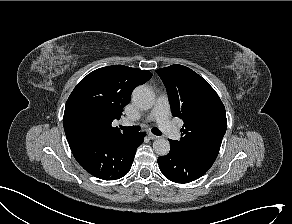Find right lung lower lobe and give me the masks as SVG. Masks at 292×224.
<instances>
[{
	"mask_svg": "<svg viewBox=\"0 0 292 224\" xmlns=\"http://www.w3.org/2000/svg\"><path fill=\"white\" fill-rule=\"evenodd\" d=\"M145 135L132 133L122 138L68 142L75 159L87 172L103 180H117L130 171L136 149Z\"/></svg>",
	"mask_w": 292,
	"mask_h": 224,
	"instance_id": "obj_1",
	"label": "right lung lower lobe"
}]
</instances>
